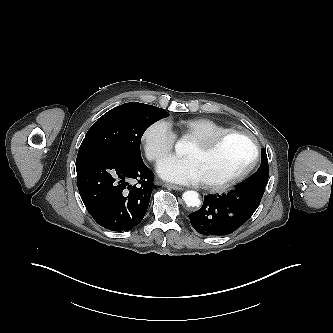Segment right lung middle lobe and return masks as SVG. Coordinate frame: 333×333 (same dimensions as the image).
<instances>
[{"label":"right lung middle lobe","mask_w":333,"mask_h":333,"mask_svg":"<svg viewBox=\"0 0 333 333\" xmlns=\"http://www.w3.org/2000/svg\"><path fill=\"white\" fill-rule=\"evenodd\" d=\"M169 116L164 109L138 102L117 106L88 130L79 152L107 150L141 160L140 142L145 130Z\"/></svg>","instance_id":"right-lung-middle-lobe-1"}]
</instances>
